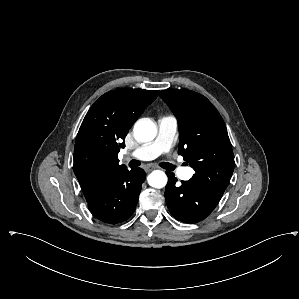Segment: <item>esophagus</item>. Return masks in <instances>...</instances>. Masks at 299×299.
I'll use <instances>...</instances> for the list:
<instances>
[{
	"instance_id": "34e87169",
	"label": "esophagus",
	"mask_w": 299,
	"mask_h": 299,
	"mask_svg": "<svg viewBox=\"0 0 299 299\" xmlns=\"http://www.w3.org/2000/svg\"><path fill=\"white\" fill-rule=\"evenodd\" d=\"M155 166H150V165H146L143 167V169L145 170V172H150L151 170L155 169Z\"/></svg>"
}]
</instances>
